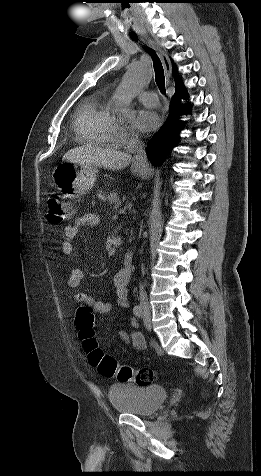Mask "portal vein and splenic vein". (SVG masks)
I'll return each mask as SVG.
<instances>
[{"mask_svg": "<svg viewBox=\"0 0 261 476\" xmlns=\"http://www.w3.org/2000/svg\"><path fill=\"white\" fill-rule=\"evenodd\" d=\"M125 212V210L121 209L120 210V214H123Z\"/></svg>", "mask_w": 261, "mask_h": 476, "instance_id": "portal-vein-and-splenic-vein-1", "label": "portal vein and splenic vein"}]
</instances>
